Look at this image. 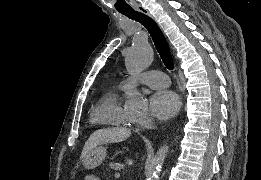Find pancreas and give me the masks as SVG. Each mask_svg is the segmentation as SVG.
I'll return each mask as SVG.
<instances>
[{"label": "pancreas", "mask_w": 261, "mask_h": 180, "mask_svg": "<svg viewBox=\"0 0 261 180\" xmlns=\"http://www.w3.org/2000/svg\"><path fill=\"white\" fill-rule=\"evenodd\" d=\"M112 164H115V159H108V162L105 163L104 173L109 178H114V173H112Z\"/></svg>", "instance_id": "pancreas-1"}]
</instances>
